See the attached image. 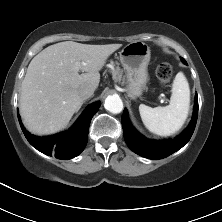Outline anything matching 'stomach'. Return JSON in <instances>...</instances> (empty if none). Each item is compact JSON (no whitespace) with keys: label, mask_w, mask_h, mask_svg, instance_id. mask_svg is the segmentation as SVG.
Wrapping results in <instances>:
<instances>
[{"label":"stomach","mask_w":222,"mask_h":222,"mask_svg":"<svg viewBox=\"0 0 222 222\" xmlns=\"http://www.w3.org/2000/svg\"><path fill=\"white\" fill-rule=\"evenodd\" d=\"M150 56V47L142 41L131 42L120 52V61L126 71V91L130 98L142 95L149 80Z\"/></svg>","instance_id":"obj_1"}]
</instances>
